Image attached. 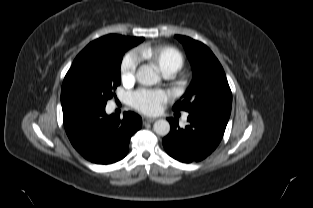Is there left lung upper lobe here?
Wrapping results in <instances>:
<instances>
[{"label": "left lung upper lobe", "instance_id": "obj_1", "mask_svg": "<svg viewBox=\"0 0 313 208\" xmlns=\"http://www.w3.org/2000/svg\"><path fill=\"white\" fill-rule=\"evenodd\" d=\"M176 38L186 50L193 70V80L184 99L175 103L173 110L230 116L232 93L218 59L203 43L186 36L176 35Z\"/></svg>", "mask_w": 313, "mask_h": 208}]
</instances>
